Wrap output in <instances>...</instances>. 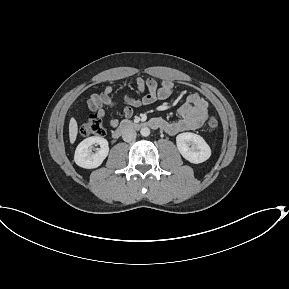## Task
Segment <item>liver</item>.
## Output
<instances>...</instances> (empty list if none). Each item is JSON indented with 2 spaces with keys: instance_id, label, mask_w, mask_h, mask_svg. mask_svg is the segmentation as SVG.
<instances>
[{
  "instance_id": "1",
  "label": "liver",
  "mask_w": 289,
  "mask_h": 289,
  "mask_svg": "<svg viewBox=\"0 0 289 289\" xmlns=\"http://www.w3.org/2000/svg\"><path fill=\"white\" fill-rule=\"evenodd\" d=\"M77 134H78V124L75 118L72 117L69 122V139L71 144L75 142Z\"/></svg>"
}]
</instances>
